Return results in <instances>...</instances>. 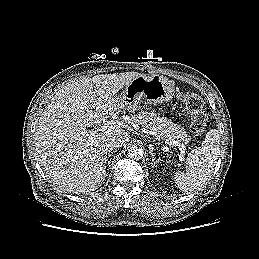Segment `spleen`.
<instances>
[{
  "mask_svg": "<svg viewBox=\"0 0 259 259\" xmlns=\"http://www.w3.org/2000/svg\"><path fill=\"white\" fill-rule=\"evenodd\" d=\"M220 135L216 129H211L205 137L204 145L193 149L186 159V172H176V186L187 192L197 190L210 180L219 156Z\"/></svg>",
  "mask_w": 259,
  "mask_h": 259,
  "instance_id": "1",
  "label": "spleen"
}]
</instances>
